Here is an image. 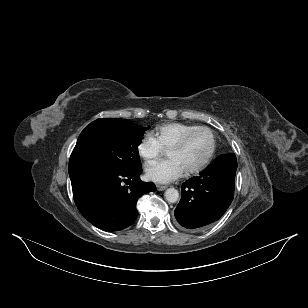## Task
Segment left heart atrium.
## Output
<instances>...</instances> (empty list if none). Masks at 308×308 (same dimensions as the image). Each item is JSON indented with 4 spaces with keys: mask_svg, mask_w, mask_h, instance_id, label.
Masks as SVG:
<instances>
[{
    "mask_svg": "<svg viewBox=\"0 0 308 308\" xmlns=\"http://www.w3.org/2000/svg\"><path fill=\"white\" fill-rule=\"evenodd\" d=\"M185 172L184 167L175 158H168L146 169L148 179L158 183H168L179 178Z\"/></svg>",
    "mask_w": 308,
    "mask_h": 308,
    "instance_id": "39dd6f15",
    "label": "left heart atrium"
}]
</instances>
